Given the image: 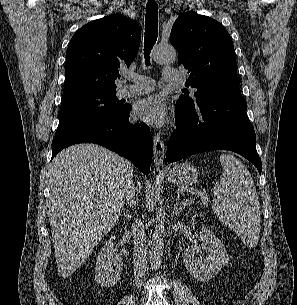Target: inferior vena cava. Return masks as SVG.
I'll use <instances>...</instances> for the list:
<instances>
[{
  "mask_svg": "<svg viewBox=\"0 0 297 305\" xmlns=\"http://www.w3.org/2000/svg\"><path fill=\"white\" fill-rule=\"evenodd\" d=\"M126 199L130 205L136 206L137 200H135V187L133 184L128 188ZM132 232L134 237V276L135 281L137 282V287L139 288L140 279L144 276L147 266L146 234L141 219H135V223L132 225Z\"/></svg>",
  "mask_w": 297,
  "mask_h": 305,
  "instance_id": "obj_1",
  "label": "inferior vena cava"
}]
</instances>
